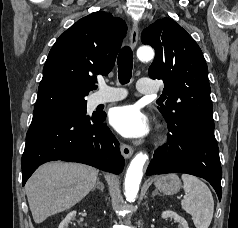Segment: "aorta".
Listing matches in <instances>:
<instances>
[{
    "label": "aorta",
    "mask_w": 238,
    "mask_h": 228,
    "mask_svg": "<svg viewBox=\"0 0 238 228\" xmlns=\"http://www.w3.org/2000/svg\"><path fill=\"white\" fill-rule=\"evenodd\" d=\"M137 57L141 61H149L154 58V51L149 46H142L137 50ZM148 160V155L139 152L132 159L125 177V197L127 201L134 202L139 191L143 176V167Z\"/></svg>",
    "instance_id": "762f6f07"
}]
</instances>
